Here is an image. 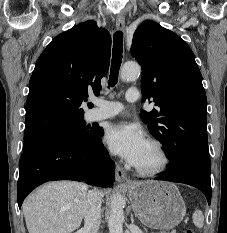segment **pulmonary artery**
Returning <instances> with one entry per match:
<instances>
[{
    "mask_svg": "<svg viewBox=\"0 0 227 233\" xmlns=\"http://www.w3.org/2000/svg\"><path fill=\"white\" fill-rule=\"evenodd\" d=\"M125 97L128 102H136L139 99V93L135 88H130ZM95 104L97 107L90 114V119L93 121L112 118L124 110L120 102L97 99Z\"/></svg>",
    "mask_w": 227,
    "mask_h": 233,
    "instance_id": "1",
    "label": "pulmonary artery"
}]
</instances>
